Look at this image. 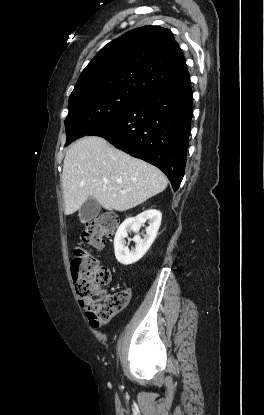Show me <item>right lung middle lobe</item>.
<instances>
[{"label":"right lung middle lobe","instance_id":"1","mask_svg":"<svg viewBox=\"0 0 264 415\" xmlns=\"http://www.w3.org/2000/svg\"><path fill=\"white\" fill-rule=\"evenodd\" d=\"M141 98L128 92L111 91L69 99V113L65 119V146L116 119Z\"/></svg>","mask_w":264,"mask_h":415}]
</instances>
